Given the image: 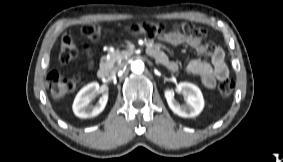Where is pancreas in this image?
<instances>
[{"instance_id": "obj_1", "label": "pancreas", "mask_w": 283, "mask_h": 162, "mask_svg": "<svg viewBox=\"0 0 283 162\" xmlns=\"http://www.w3.org/2000/svg\"><path fill=\"white\" fill-rule=\"evenodd\" d=\"M125 56H127L126 51L116 50L114 52H110L107 56L101 58L100 65L112 69L115 64H119L122 60H124Z\"/></svg>"}]
</instances>
